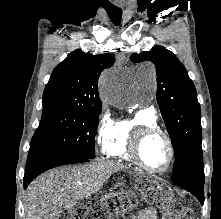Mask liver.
I'll return each instance as SVG.
<instances>
[{
  "label": "liver",
  "mask_w": 221,
  "mask_h": 219,
  "mask_svg": "<svg viewBox=\"0 0 221 219\" xmlns=\"http://www.w3.org/2000/svg\"><path fill=\"white\" fill-rule=\"evenodd\" d=\"M124 166L98 161L83 166L51 170L37 177L27 188L24 199L25 219H55L61 209L74 207L90 197Z\"/></svg>",
  "instance_id": "obj_1"
}]
</instances>
